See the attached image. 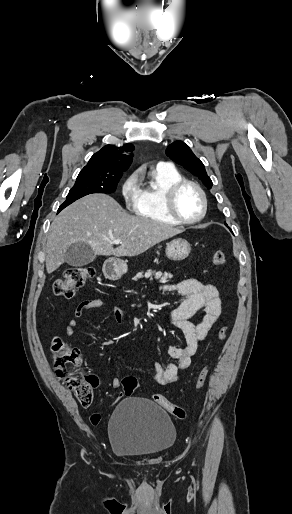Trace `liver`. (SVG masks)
<instances>
[{"label": "liver", "instance_id": "6515ba94", "mask_svg": "<svg viewBox=\"0 0 292 514\" xmlns=\"http://www.w3.org/2000/svg\"><path fill=\"white\" fill-rule=\"evenodd\" d=\"M184 230L130 216L106 194H89L77 200L50 226L46 244V270L55 272L64 264L66 250L75 242L90 244L97 256H138L155 244L173 238ZM113 240L121 246L113 248Z\"/></svg>", "mask_w": 292, "mask_h": 514}]
</instances>
